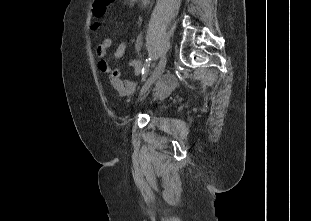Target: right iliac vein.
Wrapping results in <instances>:
<instances>
[{
	"label": "right iliac vein",
	"instance_id": "obj_1",
	"mask_svg": "<svg viewBox=\"0 0 311 221\" xmlns=\"http://www.w3.org/2000/svg\"><path fill=\"white\" fill-rule=\"evenodd\" d=\"M166 56H162L159 64L155 68L154 72L150 76V78L145 82V84L142 86L140 91V96H143L150 88L151 86L158 80V78L161 76V74L164 71L165 65H166Z\"/></svg>",
	"mask_w": 311,
	"mask_h": 221
}]
</instances>
